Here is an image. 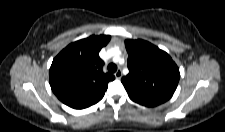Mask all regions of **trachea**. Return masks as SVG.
I'll return each mask as SVG.
<instances>
[{"label":"trachea","instance_id":"1","mask_svg":"<svg viewBox=\"0 0 225 132\" xmlns=\"http://www.w3.org/2000/svg\"><path fill=\"white\" fill-rule=\"evenodd\" d=\"M116 70H117V66H116L115 64L110 63V64L108 65V71H109V72L114 73V72H116Z\"/></svg>","mask_w":225,"mask_h":132}]
</instances>
